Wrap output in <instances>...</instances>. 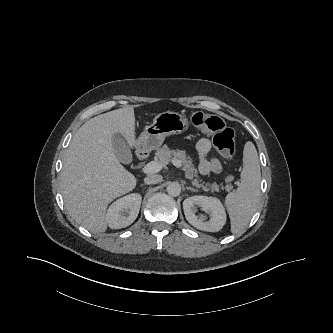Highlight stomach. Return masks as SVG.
<instances>
[{
	"label": "stomach",
	"mask_w": 333,
	"mask_h": 333,
	"mask_svg": "<svg viewBox=\"0 0 333 333\" xmlns=\"http://www.w3.org/2000/svg\"><path fill=\"white\" fill-rule=\"evenodd\" d=\"M188 126L189 122L185 115L171 111L160 113L140 134L138 148L145 152L157 149L167 136L180 134L186 131Z\"/></svg>",
	"instance_id": "0dacf381"
}]
</instances>
